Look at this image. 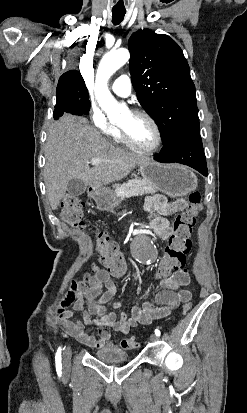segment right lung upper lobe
<instances>
[{
    "instance_id": "cb5924a9",
    "label": "right lung upper lobe",
    "mask_w": 247,
    "mask_h": 413,
    "mask_svg": "<svg viewBox=\"0 0 247 413\" xmlns=\"http://www.w3.org/2000/svg\"><path fill=\"white\" fill-rule=\"evenodd\" d=\"M64 81H84V80L79 71L71 70V71L64 73L60 77L59 82H64Z\"/></svg>"
}]
</instances>
